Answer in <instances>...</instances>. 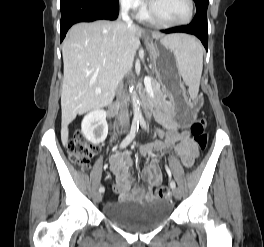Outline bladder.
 <instances>
[{"label":"bladder","instance_id":"bladder-1","mask_svg":"<svg viewBox=\"0 0 264 247\" xmlns=\"http://www.w3.org/2000/svg\"><path fill=\"white\" fill-rule=\"evenodd\" d=\"M171 211V204L164 199L121 200L106 204L104 217L126 230L143 232L164 223L170 217Z\"/></svg>","mask_w":264,"mask_h":247}]
</instances>
